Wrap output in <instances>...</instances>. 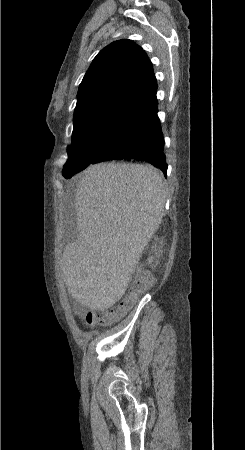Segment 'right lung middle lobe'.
<instances>
[{
    "mask_svg": "<svg viewBox=\"0 0 245 450\" xmlns=\"http://www.w3.org/2000/svg\"><path fill=\"white\" fill-rule=\"evenodd\" d=\"M140 113L117 106H92L74 116L71 150L63 176L69 179L101 153L109 152L131 134Z\"/></svg>",
    "mask_w": 245,
    "mask_h": 450,
    "instance_id": "dd1d6c3e",
    "label": "right lung middle lobe"
}]
</instances>
